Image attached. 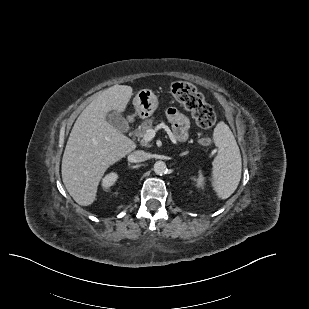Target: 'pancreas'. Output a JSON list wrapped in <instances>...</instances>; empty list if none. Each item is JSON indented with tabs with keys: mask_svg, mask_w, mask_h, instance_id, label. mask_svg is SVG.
<instances>
[{
	"mask_svg": "<svg viewBox=\"0 0 309 309\" xmlns=\"http://www.w3.org/2000/svg\"><path fill=\"white\" fill-rule=\"evenodd\" d=\"M153 122L154 120L153 119H146L145 121H143L141 123V125H139V127L134 131V134L137 136V137H143L144 134L146 133V131L148 129H151L152 126H153ZM143 144L145 146H150L147 142H143Z\"/></svg>",
	"mask_w": 309,
	"mask_h": 309,
	"instance_id": "obj_1",
	"label": "pancreas"
}]
</instances>
